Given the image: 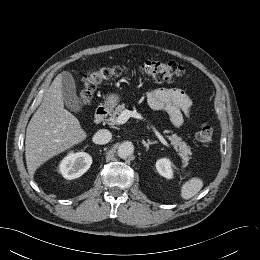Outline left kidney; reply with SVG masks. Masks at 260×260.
<instances>
[{
    "mask_svg": "<svg viewBox=\"0 0 260 260\" xmlns=\"http://www.w3.org/2000/svg\"><path fill=\"white\" fill-rule=\"evenodd\" d=\"M156 169L160 175L167 179L173 178V171L169 159L162 158L156 162Z\"/></svg>",
    "mask_w": 260,
    "mask_h": 260,
    "instance_id": "obj_1",
    "label": "left kidney"
}]
</instances>
